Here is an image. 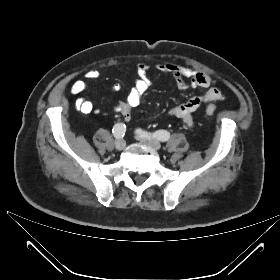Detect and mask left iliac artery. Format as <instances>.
I'll list each match as a JSON object with an SVG mask.
<instances>
[{"label":"left iliac artery","instance_id":"44dca946","mask_svg":"<svg viewBox=\"0 0 280 280\" xmlns=\"http://www.w3.org/2000/svg\"><path fill=\"white\" fill-rule=\"evenodd\" d=\"M139 133L142 136H147V137L152 136V137L157 138L158 140H160L162 142L168 141L169 138H170V133L166 130H158L153 134H150V133L143 132V131L139 130Z\"/></svg>","mask_w":280,"mask_h":280}]
</instances>
